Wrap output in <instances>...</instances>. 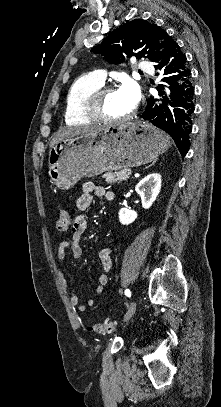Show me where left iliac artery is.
Instances as JSON below:
<instances>
[{"label":"left iliac artery","instance_id":"obj_1","mask_svg":"<svg viewBox=\"0 0 221 407\" xmlns=\"http://www.w3.org/2000/svg\"><path fill=\"white\" fill-rule=\"evenodd\" d=\"M125 294H126V296L129 297V298L131 297V292H130L129 289H126V290H125Z\"/></svg>","mask_w":221,"mask_h":407}]
</instances>
